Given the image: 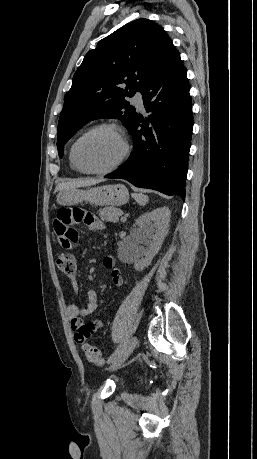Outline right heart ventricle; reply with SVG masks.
<instances>
[{"mask_svg":"<svg viewBox=\"0 0 257 459\" xmlns=\"http://www.w3.org/2000/svg\"><path fill=\"white\" fill-rule=\"evenodd\" d=\"M73 146V145H72ZM72 146L70 147V150H69V163H70V167L73 171L75 172H78V173H81V171L77 168V166L75 165L74 163V160H73V157H72Z\"/></svg>","mask_w":257,"mask_h":459,"instance_id":"right-heart-ventricle-1","label":"right heart ventricle"}]
</instances>
